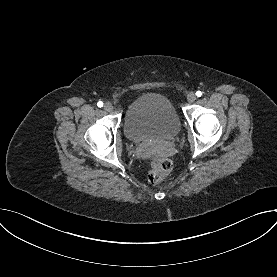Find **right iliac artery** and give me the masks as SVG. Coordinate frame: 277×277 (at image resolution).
<instances>
[{"label":"right iliac artery","mask_w":277,"mask_h":277,"mask_svg":"<svg viewBox=\"0 0 277 277\" xmlns=\"http://www.w3.org/2000/svg\"><path fill=\"white\" fill-rule=\"evenodd\" d=\"M97 105H98V107H102V106H103V102L99 101V102L97 103Z\"/></svg>","instance_id":"82829eb1"}]
</instances>
